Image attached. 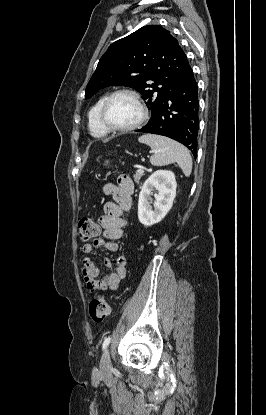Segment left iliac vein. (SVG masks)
<instances>
[{"label": "left iliac vein", "mask_w": 266, "mask_h": 415, "mask_svg": "<svg viewBox=\"0 0 266 415\" xmlns=\"http://www.w3.org/2000/svg\"><path fill=\"white\" fill-rule=\"evenodd\" d=\"M111 360L109 350L106 349L101 357L100 370L103 376H107L110 373Z\"/></svg>", "instance_id": "left-iliac-vein-1"}]
</instances>
